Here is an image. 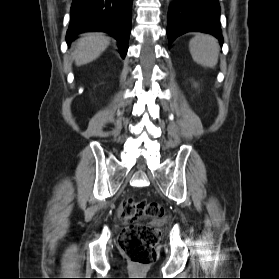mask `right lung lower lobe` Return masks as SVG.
Segmentation results:
<instances>
[{
    "label": "right lung lower lobe",
    "mask_w": 279,
    "mask_h": 279,
    "mask_svg": "<svg viewBox=\"0 0 279 279\" xmlns=\"http://www.w3.org/2000/svg\"><path fill=\"white\" fill-rule=\"evenodd\" d=\"M132 0H73L67 30L68 44L85 31H103L118 41L125 58L131 32Z\"/></svg>",
    "instance_id": "1"
}]
</instances>
